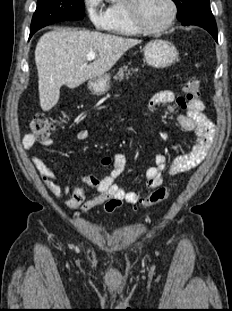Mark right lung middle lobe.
Here are the masks:
<instances>
[{
    "label": "right lung middle lobe",
    "instance_id": "dd1d6c3e",
    "mask_svg": "<svg viewBox=\"0 0 232 311\" xmlns=\"http://www.w3.org/2000/svg\"><path fill=\"white\" fill-rule=\"evenodd\" d=\"M83 3L84 0H38L31 31L59 21L83 19Z\"/></svg>",
    "mask_w": 232,
    "mask_h": 311
}]
</instances>
